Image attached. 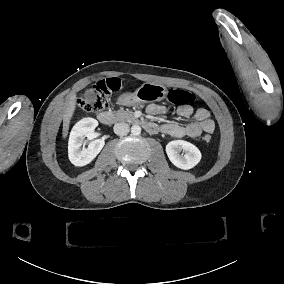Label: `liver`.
Listing matches in <instances>:
<instances>
[{
    "label": "liver",
    "mask_w": 284,
    "mask_h": 284,
    "mask_svg": "<svg viewBox=\"0 0 284 284\" xmlns=\"http://www.w3.org/2000/svg\"><path fill=\"white\" fill-rule=\"evenodd\" d=\"M76 106V95L72 94L66 102V112L63 116V137L66 138L69 130L70 119Z\"/></svg>",
    "instance_id": "6515ba94"
}]
</instances>
